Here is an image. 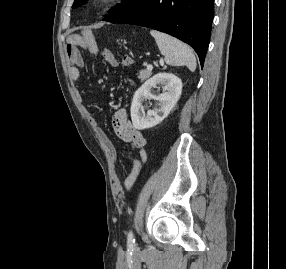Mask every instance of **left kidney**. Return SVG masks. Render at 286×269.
Listing matches in <instances>:
<instances>
[{
  "label": "left kidney",
  "instance_id": "1",
  "mask_svg": "<svg viewBox=\"0 0 286 269\" xmlns=\"http://www.w3.org/2000/svg\"><path fill=\"white\" fill-rule=\"evenodd\" d=\"M157 84L163 86L164 92L159 95L151 93V88ZM182 92V81L170 73H158L147 80L134 94L131 104V119L133 127L138 130L152 128L162 122L174 108ZM144 99L157 101V108L141 113Z\"/></svg>",
  "mask_w": 286,
  "mask_h": 269
}]
</instances>
